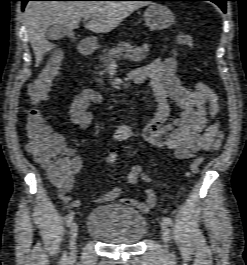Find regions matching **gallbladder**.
<instances>
[{
	"label": "gallbladder",
	"mask_w": 247,
	"mask_h": 265,
	"mask_svg": "<svg viewBox=\"0 0 247 265\" xmlns=\"http://www.w3.org/2000/svg\"><path fill=\"white\" fill-rule=\"evenodd\" d=\"M71 35L72 33L70 29H68L65 26L56 25V24L51 25L46 31V36L50 40H61L64 37Z\"/></svg>",
	"instance_id": "bac80fb5"
}]
</instances>
